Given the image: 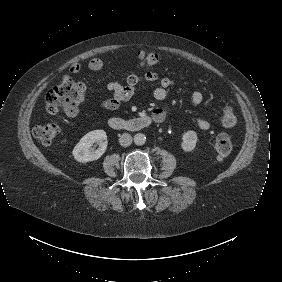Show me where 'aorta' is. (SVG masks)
<instances>
[{"label":"aorta","mask_w":282,"mask_h":282,"mask_svg":"<svg viewBox=\"0 0 282 282\" xmlns=\"http://www.w3.org/2000/svg\"><path fill=\"white\" fill-rule=\"evenodd\" d=\"M133 140H134L135 145L142 146L146 142V136L143 133H137L134 135Z\"/></svg>","instance_id":"obj_1"}]
</instances>
